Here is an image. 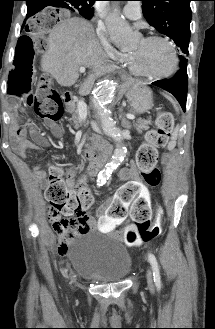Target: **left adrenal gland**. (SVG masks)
<instances>
[{"instance_id":"left-adrenal-gland-1","label":"left adrenal gland","mask_w":215,"mask_h":329,"mask_svg":"<svg viewBox=\"0 0 215 329\" xmlns=\"http://www.w3.org/2000/svg\"><path fill=\"white\" fill-rule=\"evenodd\" d=\"M122 112H123V108H120V115H119V117L121 118V124H122V126H124V127H126V128H129L130 127V124H129V122L125 119V117L123 116V114H122Z\"/></svg>"}]
</instances>
